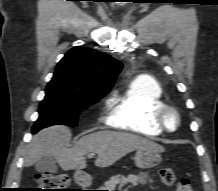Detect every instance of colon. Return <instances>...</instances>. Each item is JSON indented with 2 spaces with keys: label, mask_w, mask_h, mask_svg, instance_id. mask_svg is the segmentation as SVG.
I'll return each instance as SVG.
<instances>
[{
  "label": "colon",
  "mask_w": 218,
  "mask_h": 191,
  "mask_svg": "<svg viewBox=\"0 0 218 191\" xmlns=\"http://www.w3.org/2000/svg\"><path fill=\"white\" fill-rule=\"evenodd\" d=\"M160 180L164 185L173 186L176 191H193L191 183L186 178H178L170 167H164L159 172ZM37 188L30 191H67L69 183L67 176L63 174L40 173L36 176Z\"/></svg>",
  "instance_id": "colon-1"
}]
</instances>
